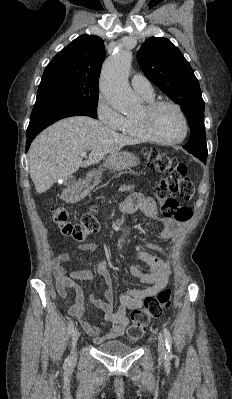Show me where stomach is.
Returning a JSON list of instances; mask_svg holds the SVG:
<instances>
[{
	"instance_id": "stomach-1",
	"label": "stomach",
	"mask_w": 232,
	"mask_h": 399,
	"mask_svg": "<svg viewBox=\"0 0 232 399\" xmlns=\"http://www.w3.org/2000/svg\"><path fill=\"white\" fill-rule=\"evenodd\" d=\"M139 158L131 152H116V154H110L105 160L103 168H109V170H116V172H121V170H129V168H135L138 166ZM102 172L100 170H93L87 174V178L84 182V188L86 192H90L94 186H97L101 180ZM80 198H83V192H78ZM78 198V200H80Z\"/></svg>"
}]
</instances>
